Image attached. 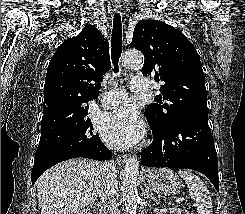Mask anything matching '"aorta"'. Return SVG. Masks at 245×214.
Segmentation results:
<instances>
[{
	"label": "aorta",
	"instance_id": "1",
	"mask_svg": "<svg viewBox=\"0 0 245 214\" xmlns=\"http://www.w3.org/2000/svg\"><path fill=\"white\" fill-rule=\"evenodd\" d=\"M144 64V56L138 51H128L122 57V65L126 68H141ZM139 175V160L137 156H131L125 165L122 178L121 190L128 214H136L139 201L137 191V178Z\"/></svg>",
	"mask_w": 245,
	"mask_h": 214
}]
</instances>
